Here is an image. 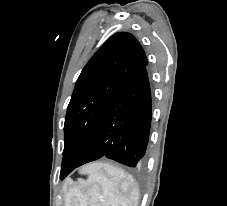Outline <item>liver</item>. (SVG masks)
<instances>
[{"instance_id":"6515ba94","label":"liver","mask_w":227,"mask_h":206,"mask_svg":"<svg viewBox=\"0 0 227 206\" xmlns=\"http://www.w3.org/2000/svg\"><path fill=\"white\" fill-rule=\"evenodd\" d=\"M93 166H94V165L87 166V167L85 168V170L88 169V168H91V167H93Z\"/></svg>"}]
</instances>
